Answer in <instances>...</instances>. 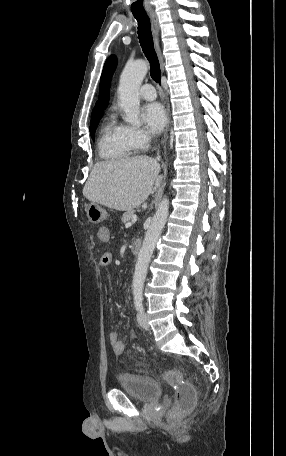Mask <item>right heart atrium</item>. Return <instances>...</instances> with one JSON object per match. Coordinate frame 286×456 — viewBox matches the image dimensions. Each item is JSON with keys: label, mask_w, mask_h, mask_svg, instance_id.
I'll return each instance as SVG.
<instances>
[{"label": "right heart atrium", "mask_w": 286, "mask_h": 456, "mask_svg": "<svg viewBox=\"0 0 286 456\" xmlns=\"http://www.w3.org/2000/svg\"><path fill=\"white\" fill-rule=\"evenodd\" d=\"M126 130L135 148L143 149L149 145L151 137L145 130L134 127H126Z\"/></svg>", "instance_id": "obj_1"}]
</instances>
